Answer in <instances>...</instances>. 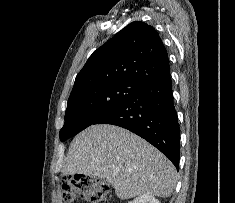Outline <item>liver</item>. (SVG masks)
<instances>
[{
    "label": "liver",
    "instance_id": "1",
    "mask_svg": "<svg viewBox=\"0 0 235 203\" xmlns=\"http://www.w3.org/2000/svg\"><path fill=\"white\" fill-rule=\"evenodd\" d=\"M63 175L84 174L106 179L120 199L143 194L169 197L176 170L147 141L119 126L92 125L72 141Z\"/></svg>",
    "mask_w": 235,
    "mask_h": 203
}]
</instances>
